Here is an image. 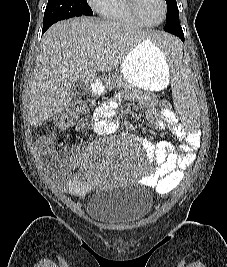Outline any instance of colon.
Returning a JSON list of instances; mask_svg holds the SVG:
<instances>
[{
    "mask_svg": "<svg viewBox=\"0 0 227 267\" xmlns=\"http://www.w3.org/2000/svg\"><path fill=\"white\" fill-rule=\"evenodd\" d=\"M159 109H174L171 100H161ZM87 110V103L83 100L75 102L64 112L56 115L54 118V126L59 129H66L72 126L76 119Z\"/></svg>",
    "mask_w": 227,
    "mask_h": 267,
    "instance_id": "colon-1",
    "label": "colon"
}]
</instances>
